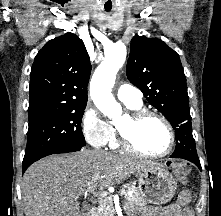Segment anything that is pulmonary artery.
I'll return each mask as SVG.
<instances>
[{
  "label": "pulmonary artery",
  "instance_id": "1",
  "mask_svg": "<svg viewBox=\"0 0 221 216\" xmlns=\"http://www.w3.org/2000/svg\"><path fill=\"white\" fill-rule=\"evenodd\" d=\"M117 97L125 104L142 103V92L133 85L122 84L117 88Z\"/></svg>",
  "mask_w": 221,
  "mask_h": 216
}]
</instances>
